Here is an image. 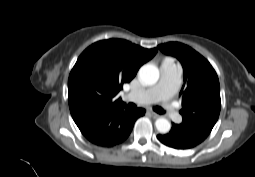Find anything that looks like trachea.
Here are the masks:
<instances>
[{"instance_id": "trachea-1", "label": "trachea", "mask_w": 255, "mask_h": 177, "mask_svg": "<svg viewBox=\"0 0 255 177\" xmlns=\"http://www.w3.org/2000/svg\"><path fill=\"white\" fill-rule=\"evenodd\" d=\"M133 104H129V107L131 108ZM153 110L159 114H164L165 111L161 107H154Z\"/></svg>"}]
</instances>
